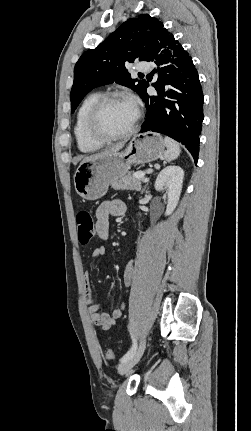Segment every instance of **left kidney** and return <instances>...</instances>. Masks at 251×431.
Wrapping results in <instances>:
<instances>
[{"instance_id":"5707ae66","label":"left kidney","mask_w":251,"mask_h":431,"mask_svg":"<svg viewBox=\"0 0 251 431\" xmlns=\"http://www.w3.org/2000/svg\"><path fill=\"white\" fill-rule=\"evenodd\" d=\"M183 179V169L175 165L165 167L156 178L155 189L157 191L165 189L168 195L165 216L171 215L178 204L182 191Z\"/></svg>"}]
</instances>
